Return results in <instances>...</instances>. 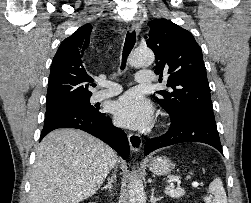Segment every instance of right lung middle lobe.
Returning a JSON list of instances; mask_svg holds the SVG:
<instances>
[{
  "instance_id": "dd1d6c3e",
  "label": "right lung middle lobe",
  "mask_w": 251,
  "mask_h": 203,
  "mask_svg": "<svg viewBox=\"0 0 251 203\" xmlns=\"http://www.w3.org/2000/svg\"><path fill=\"white\" fill-rule=\"evenodd\" d=\"M65 110H82L92 113H99L98 108H95L90 104L89 99H85L79 102L71 103L65 106L48 108L46 109L45 116L51 115L56 112L65 111Z\"/></svg>"
}]
</instances>
